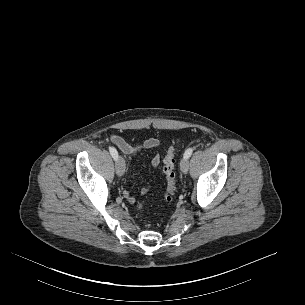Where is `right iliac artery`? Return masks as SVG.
Wrapping results in <instances>:
<instances>
[{"mask_svg":"<svg viewBox=\"0 0 305 305\" xmlns=\"http://www.w3.org/2000/svg\"><path fill=\"white\" fill-rule=\"evenodd\" d=\"M109 152H110V154L112 155V157H113L115 160H117V158H118V152H117V150H116L114 147L110 146V147H109Z\"/></svg>","mask_w":305,"mask_h":305,"instance_id":"obj_1","label":"right iliac artery"}]
</instances>
